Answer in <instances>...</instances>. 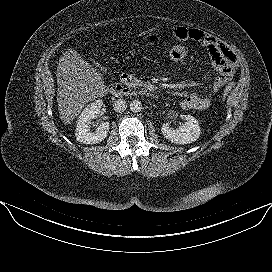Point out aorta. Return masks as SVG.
<instances>
[{"instance_id":"1","label":"aorta","mask_w":272,"mask_h":272,"mask_svg":"<svg viewBox=\"0 0 272 272\" xmlns=\"http://www.w3.org/2000/svg\"><path fill=\"white\" fill-rule=\"evenodd\" d=\"M141 109H142V104H141V102L139 100L135 99V100L130 102V110L132 112L137 113V112H140Z\"/></svg>"}]
</instances>
